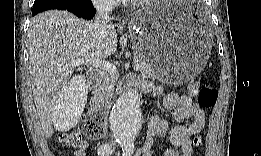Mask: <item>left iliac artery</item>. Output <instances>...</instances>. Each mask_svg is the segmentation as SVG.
<instances>
[{
    "instance_id": "44dca946",
    "label": "left iliac artery",
    "mask_w": 261,
    "mask_h": 156,
    "mask_svg": "<svg viewBox=\"0 0 261 156\" xmlns=\"http://www.w3.org/2000/svg\"><path fill=\"white\" fill-rule=\"evenodd\" d=\"M119 144L122 148V155L123 156H131L133 154L134 151V143L132 139H121L119 141Z\"/></svg>"
}]
</instances>
